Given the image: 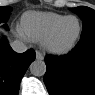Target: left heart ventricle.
Here are the masks:
<instances>
[{
    "label": "left heart ventricle",
    "mask_w": 95,
    "mask_h": 95,
    "mask_svg": "<svg viewBox=\"0 0 95 95\" xmlns=\"http://www.w3.org/2000/svg\"><path fill=\"white\" fill-rule=\"evenodd\" d=\"M79 31V23L76 19L71 18L65 21L62 27L54 36V43L56 45L64 46L71 43L77 36Z\"/></svg>",
    "instance_id": "1"
}]
</instances>
